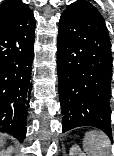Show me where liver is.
Here are the masks:
<instances>
[{
    "label": "liver",
    "mask_w": 114,
    "mask_h": 156,
    "mask_svg": "<svg viewBox=\"0 0 114 156\" xmlns=\"http://www.w3.org/2000/svg\"><path fill=\"white\" fill-rule=\"evenodd\" d=\"M6 137H7L6 134H1V133H0V148L5 144V142H6Z\"/></svg>",
    "instance_id": "1"
}]
</instances>
